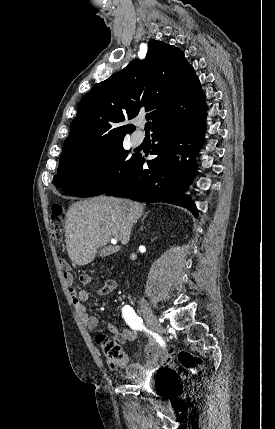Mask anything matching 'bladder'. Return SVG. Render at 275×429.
Instances as JSON below:
<instances>
[{
	"label": "bladder",
	"instance_id": "obj_1",
	"mask_svg": "<svg viewBox=\"0 0 275 429\" xmlns=\"http://www.w3.org/2000/svg\"><path fill=\"white\" fill-rule=\"evenodd\" d=\"M138 387H146L148 398H175V389H169L171 377H150L146 381H136Z\"/></svg>",
	"mask_w": 275,
	"mask_h": 429
}]
</instances>
